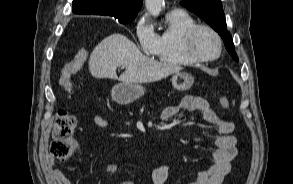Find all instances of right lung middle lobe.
I'll use <instances>...</instances> for the list:
<instances>
[{"label":"right lung middle lobe","instance_id":"1","mask_svg":"<svg viewBox=\"0 0 293 184\" xmlns=\"http://www.w3.org/2000/svg\"><path fill=\"white\" fill-rule=\"evenodd\" d=\"M133 19L134 18H131V19H121V20H119V22L122 23V24H127V23L133 21Z\"/></svg>","mask_w":293,"mask_h":184}]
</instances>
